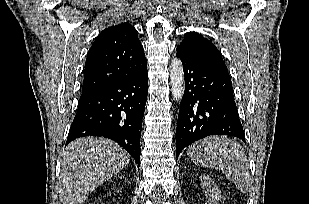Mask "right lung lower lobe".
<instances>
[{"label":"right lung lower lobe","instance_id":"obj_1","mask_svg":"<svg viewBox=\"0 0 309 204\" xmlns=\"http://www.w3.org/2000/svg\"><path fill=\"white\" fill-rule=\"evenodd\" d=\"M147 94V67L137 74L82 94L66 145L79 137L103 136L121 145L139 165Z\"/></svg>","mask_w":309,"mask_h":204}]
</instances>
